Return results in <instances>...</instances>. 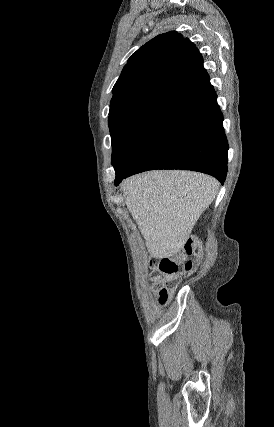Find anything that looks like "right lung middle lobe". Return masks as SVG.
Here are the masks:
<instances>
[{"label": "right lung middle lobe", "instance_id": "dd1d6c3e", "mask_svg": "<svg viewBox=\"0 0 274 427\" xmlns=\"http://www.w3.org/2000/svg\"><path fill=\"white\" fill-rule=\"evenodd\" d=\"M174 104V101L156 94L109 111L113 166H126L136 157Z\"/></svg>", "mask_w": 274, "mask_h": 427}]
</instances>
